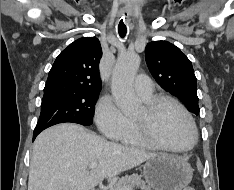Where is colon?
I'll return each mask as SVG.
<instances>
[{"mask_svg": "<svg viewBox=\"0 0 234 190\" xmlns=\"http://www.w3.org/2000/svg\"><path fill=\"white\" fill-rule=\"evenodd\" d=\"M184 190H196V189L192 186H189V187H186Z\"/></svg>", "mask_w": 234, "mask_h": 190, "instance_id": "5ec220e1", "label": "colon"}]
</instances>
